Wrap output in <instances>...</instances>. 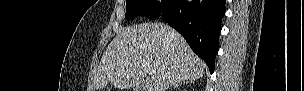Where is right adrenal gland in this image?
Listing matches in <instances>:
<instances>
[{
    "mask_svg": "<svg viewBox=\"0 0 304 91\" xmlns=\"http://www.w3.org/2000/svg\"><path fill=\"white\" fill-rule=\"evenodd\" d=\"M188 84V83H193V81H184V82H179V83H176V84H172L170 85V88H177L178 86H180L181 84Z\"/></svg>",
    "mask_w": 304,
    "mask_h": 91,
    "instance_id": "1",
    "label": "right adrenal gland"
}]
</instances>
